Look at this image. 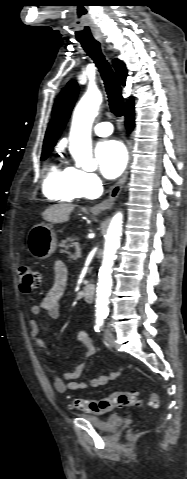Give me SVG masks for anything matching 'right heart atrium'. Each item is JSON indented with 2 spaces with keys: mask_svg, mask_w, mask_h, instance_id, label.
<instances>
[{
  "mask_svg": "<svg viewBox=\"0 0 187 479\" xmlns=\"http://www.w3.org/2000/svg\"><path fill=\"white\" fill-rule=\"evenodd\" d=\"M74 170V182L82 197H94L98 195L102 182L99 176L93 172Z\"/></svg>",
  "mask_w": 187,
  "mask_h": 479,
  "instance_id": "d8ad5b80",
  "label": "right heart atrium"
}]
</instances>
